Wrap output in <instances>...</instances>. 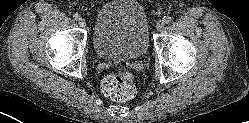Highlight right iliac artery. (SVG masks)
I'll return each mask as SVG.
<instances>
[{"label": "right iliac artery", "mask_w": 249, "mask_h": 123, "mask_svg": "<svg viewBox=\"0 0 249 123\" xmlns=\"http://www.w3.org/2000/svg\"><path fill=\"white\" fill-rule=\"evenodd\" d=\"M73 19L76 20V21L79 20V19H80V15L77 14V13L74 14V15H73Z\"/></svg>", "instance_id": "1"}]
</instances>
